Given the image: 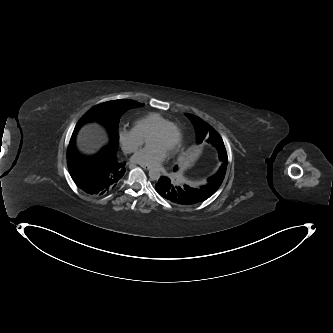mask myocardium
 Masks as SVG:
<instances>
[{"label":"myocardium","instance_id":"f54148a6","mask_svg":"<svg viewBox=\"0 0 333 333\" xmlns=\"http://www.w3.org/2000/svg\"><path fill=\"white\" fill-rule=\"evenodd\" d=\"M168 130H173L175 132V135H176L174 142L172 143V145L168 149V153H171L178 147V145L180 143V128L178 127V125H176L175 123H173L171 121L167 122V123H164L161 126H159L158 128H156L154 131H152L150 133V135L163 134V133L167 132Z\"/></svg>","mask_w":333,"mask_h":333}]
</instances>
